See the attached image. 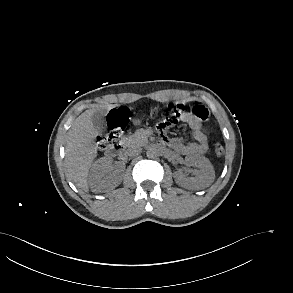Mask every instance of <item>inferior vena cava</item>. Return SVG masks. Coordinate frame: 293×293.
<instances>
[{
	"label": "inferior vena cava",
	"instance_id": "obj_1",
	"mask_svg": "<svg viewBox=\"0 0 293 293\" xmlns=\"http://www.w3.org/2000/svg\"><path fill=\"white\" fill-rule=\"evenodd\" d=\"M140 152H141V148H139V147H133V148L127 149L125 153L128 156H135V155L140 154Z\"/></svg>",
	"mask_w": 293,
	"mask_h": 293
}]
</instances>
